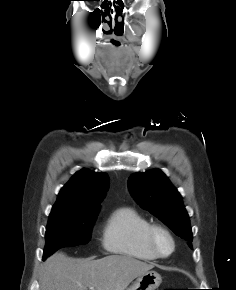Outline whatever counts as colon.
I'll list each match as a JSON object with an SVG mask.
<instances>
[{
  "mask_svg": "<svg viewBox=\"0 0 236 290\" xmlns=\"http://www.w3.org/2000/svg\"><path fill=\"white\" fill-rule=\"evenodd\" d=\"M164 290H178V289H164Z\"/></svg>",
  "mask_w": 236,
  "mask_h": 290,
  "instance_id": "obj_1",
  "label": "colon"
}]
</instances>
